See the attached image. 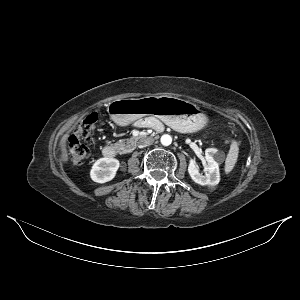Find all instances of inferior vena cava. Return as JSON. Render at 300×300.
Wrapping results in <instances>:
<instances>
[{
	"instance_id": "obj_1",
	"label": "inferior vena cava",
	"mask_w": 300,
	"mask_h": 300,
	"mask_svg": "<svg viewBox=\"0 0 300 300\" xmlns=\"http://www.w3.org/2000/svg\"><path fill=\"white\" fill-rule=\"evenodd\" d=\"M153 142H154V139L151 137L142 138L138 141V147L143 148V147L153 144Z\"/></svg>"
}]
</instances>
